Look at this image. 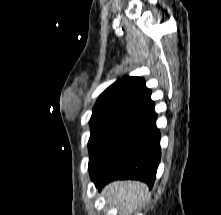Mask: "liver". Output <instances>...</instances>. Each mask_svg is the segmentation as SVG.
<instances>
[{"label":"liver","instance_id":"6515ba94","mask_svg":"<svg viewBox=\"0 0 221 215\" xmlns=\"http://www.w3.org/2000/svg\"><path fill=\"white\" fill-rule=\"evenodd\" d=\"M147 192L146 184L132 180L112 182L103 190L106 202L115 205L119 215H132Z\"/></svg>","mask_w":221,"mask_h":215}]
</instances>
